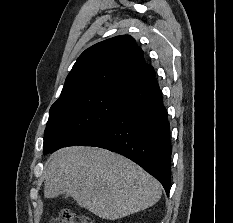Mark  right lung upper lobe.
<instances>
[{"mask_svg":"<svg viewBox=\"0 0 233 223\" xmlns=\"http://www.w3.org/2000/svg\"><path fill=\"white\" fill-rule=\"evenodd\" d=\"M155 77L143 51L128 35L116 36L85 50L68 74L60 97L90 90H124Z\"/></svg>","mask_w":233,"mask_h":223,"instance_id":"obj_1","label":"right lung upper lobe"}]
</instances>
